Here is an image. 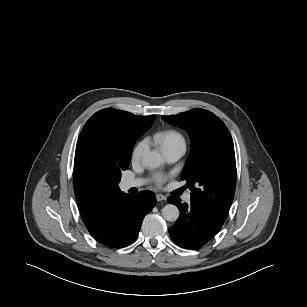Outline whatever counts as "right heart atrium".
I'll return each mask as SVG.
<instances>
[{
  "instance_id": "d8ad5b80",
  "label": "right heart atrium",
  "mask_w": 307,
  "mask_h": 307,
  "mask_svg": "<svg viewBox=\"0 0 307 307\" xmlns=\"http://www.w3.org/2000/svg\"><path fill=\"white\" fill-rule=\"evenodd\" d=\"M146 149H147V142L145 140L139 141L133 148L131 154L132 160L133 161L139 160L143 156Z\"/></svg>"
}]
</instances>
